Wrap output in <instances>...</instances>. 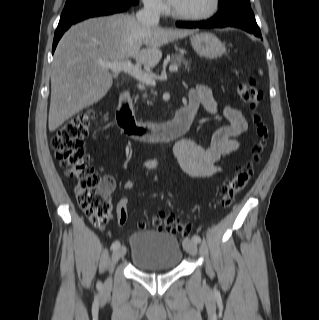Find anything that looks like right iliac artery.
<instances>
[{
  "label": "right iliac artery",
  "mask_w": 319,
  "mask_h": 320,
  "mask_svg": "<svg viewBox=\"0 0 319 320\" xmlns=\"http://www.w3.org/2000/svg\"><path fill=\"white\" fill-rule=\"evenodd\" d=\"M118 247H120V242L119 241H114L111 245V250H115Z\"/></svg>",
  "instance_id": "right-iliac-artery-1"
}]
</instances>
